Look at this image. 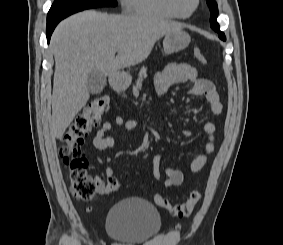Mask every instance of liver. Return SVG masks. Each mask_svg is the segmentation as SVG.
Segmentation results:
<instances>
[{
    "mask_svg": "<svg viewBox=\"0 0 283 245\" xmlns=\"http://www.w3.org/2000/svg\"><path fill=\"white\" fill-rule=\"evenodd\" d=\"M182 27L153 17L93 10L63 20L50 43L55 58L51 119L54 136L62 138L89 100L87 77L92 70L114 77L121 69L144 61L161 37Z\"/></svg>",
    "mask_w": 283,
    "mask_h": 245,
    "instance_id": "liver-1",
    "label": "liver"
}]
</instances>
